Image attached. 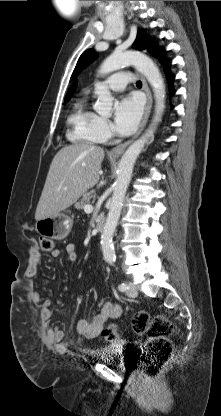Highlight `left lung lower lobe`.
<instances>
[{
  "instance_id": "obj_1",
  "label": "left lung lower lobe",
  "mask_w": 221,
  "mask_h": 416,
  "mask_svg": "<svg viewBox=\"0 0 221 416\" xmlns=\"http://www.w3.org/2000/svg\"><path fill=\"white\" fill-rule=\"evenodd\" d=\"M150 53L153 54L154 56H157L159 53V50H157L156 47H152V49L150 50ZM164 65L165 66H169L170 65V61L169 60H165L164 61ZM167 76V80L169 83V88H170V95L174 94V90L171 87L172 81L174 80V75H172L171 73H166Z\"/></svg>"
}]
</instances>
